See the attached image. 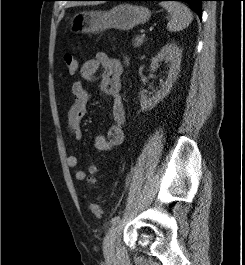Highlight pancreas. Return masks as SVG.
I'll use <instances>...</instances> for the list:
<instances>
[{
    "mask_svg": "<svg viewBox=\"0 0 245 265\" xmlns=\"http://www.w3.org/2000/svg\"><path fill=\"white\" fill-rule=\"evenodd\" d=\"M144 43V38L140 35L136 36L133 40H132V44L135 48L140 47L142 44Z\"/></svg>",
    "mask_w": 245,
    "mask_h": 265,
    "instance_id": "pancreas-1",
    "label": "pancreas"
}]
</instances>
